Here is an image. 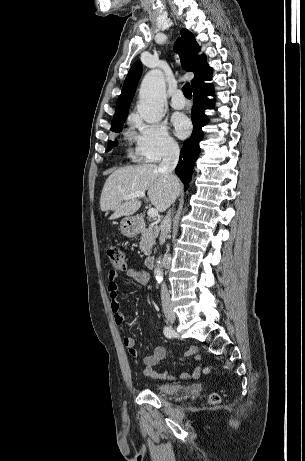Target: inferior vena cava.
<instances>
[{
	"mask_svg": "<svg viewBox=\"0 0 305 461\" xmlns=\"http://www.w3.org/2000/svg\"><path fill=\"white\" fill-rule=\"evenodd\" d=\"M179 152L180 150H179V146L177 143H173V142L168 143L163 152V159L159 165V171L171 177L172 172L176 168L178 160H179ZM174 200L175 199H173V202ZM170 229H171V211L169 210L160 226L161 232L159 236V242L161 245L165 242L167 238V234L170 231ZM161 301H162V307L164 310L171 307L170 295H169V292L167 290L165 283L162 285V288H161Z\"/></svg>",
	"mask_w": 305,
	"mask_h": 461,
	"instance_id": "inferior-vena-cava-1",
	"label": "inferior vena cava"
}]
</instances>
